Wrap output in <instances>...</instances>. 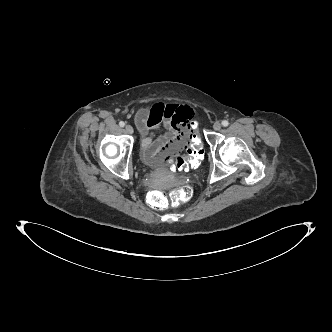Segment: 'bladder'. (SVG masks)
I'll return each mask as SVG.
<instances>
[{"label":"bladder","instance_id":"bladder-1","mask_svg":"<svg viewBox=\"0 0 332 332\" xmlns=\"http://www.w3.org/2000/svg\"><path fill=\"white\" fill-rule=\"evenodd\" d=\"M143 160L150 167L157 168L160 166V163L148 161V160H146V158L144 156H143Z\"/></svg>","mask_w":332,"mask_h":332}]
</instances>
